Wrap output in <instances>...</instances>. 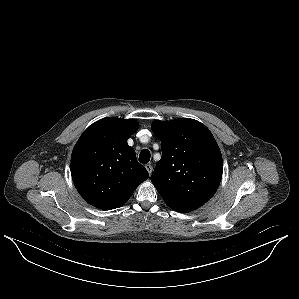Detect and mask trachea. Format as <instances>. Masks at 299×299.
<instances>
[{"mask_svg": "<svg viewBox=\"0 0 299 299\" xmlns=\"http://www.w3.org/2000/svg\"><path fill=\"white\" fill-rule=\"evenodd\" d=\"M150 151L148 149H144L141 151L140 155H139V162L146 164L149 162L150 160Z\"/></svg>", "mask_w": 299, "mask_h": 299, "instance_id": "1", "label": "trachea"}]
</instances>
